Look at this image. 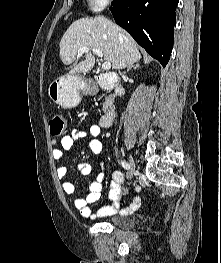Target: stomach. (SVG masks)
I'll use <instances>...</instances> for the list:
<instances>
[{"label":"stomach","instance_id":"1","mask_svg":"<svg viewBox=\"0 0 221 263\" xmlns=\"http://www.w3.org/2000/svg\"><path fill=\"white\" fill-rule=\"evenodd\" d=\"M89 90V84L84 78L70 73L52 81L48 87V95L61 107L74 108L81 100V93Z\"/></svg>","mask_w":221,"mask_h":263}]
</instances>
